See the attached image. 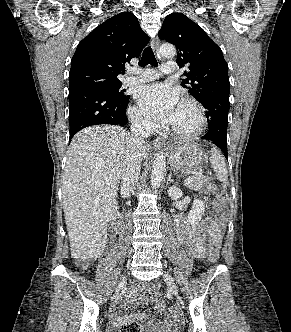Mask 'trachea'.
<instances>
[{"mask_svg":"<svg viewBox=\"0 0 291 332\" xmlns=\"http://www.w3.org/2000/svg\"><path fill=\"white\" fill-rule=\"evenodd\" d=\"M147 64H151L152 66H158V63L156 61V58L154 56V53H153L151 47H146L144 49L142 58L139 62V66L144 67Z\"/></svg>","mask_w":291,"mask_h":332,"instance_id":"1","label":"trachea"}]
</instances>
